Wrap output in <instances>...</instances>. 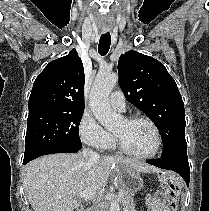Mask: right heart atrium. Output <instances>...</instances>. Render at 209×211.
<instances>
[{
    "mask_svg": "<svg viewBox=\"0 0 209 211\" xmlns=\"http://www.w3.org/2000/svg\"><path fill=\"white\" fill-rule=\"evenodd\" d=\"M78 131L82 142L95 149L106 148L113 140V136L87 111L80 119Z\"/></svg>",
    "mask_w": 209,
    "mask_h": 211,
    "instance_id": "d8ad5b80",
    "label": "right heart atrium"
}]
</instances>
